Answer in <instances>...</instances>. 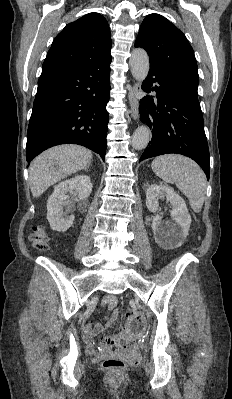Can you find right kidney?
Returning <instances> with one entry per match:
<instances>
[{"mask_svg":"<svg viewBox=\"0 0 232 399\" xmlns=\"http://www.w3.org/2000/svg\"><path fill=\"white\" fill-rule=\"evenodd\" d=\"M92 192V184L89 176H75L71 180H65L54 188L52 196L47 200V219L51 229L66 231L74 221L75 215H67L63 211V205L69 203L72 196L79 200H87ZM82 203V201H79Z\"/></svg>","mask_w":232,"mask_h":399,"instance_id":"right-kidney-1","label":"right kidney"}]
</instances>
